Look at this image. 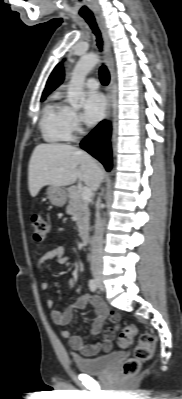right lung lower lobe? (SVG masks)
<instances>
[{
    "mask_svg": "<svg viewBox=\"0 0 182 399\" xmlns=\"http://www.w3.org/2000/svg\"><path fill=\"white\" fill-rule=\"evenodd\" d=\"M110 135V123L107 121H102L81 142V147L98 159L104 165L107 171H110L112 167Z\"/></svg>",
    "mask_w": 182,
    "mask_h": 399,
    "instance_id": "98d812e1",
    "label": "right lung lower lobe"
}]
</instances>
